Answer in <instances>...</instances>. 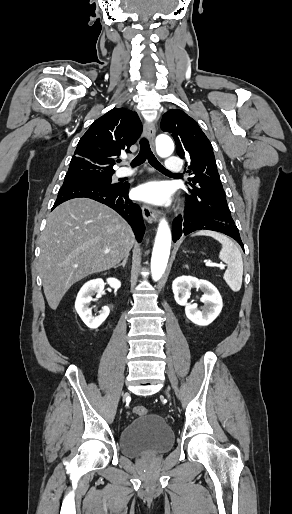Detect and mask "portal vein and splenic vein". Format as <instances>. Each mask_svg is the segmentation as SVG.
<instances>
[{"mask_svg":"<svg viewBox=\"0 0 292 514\" xmlns=\"http://www.w3.org/2000/svg\"><path fill=\"white\" fill-rule=\"evenodd\" d=\"M105 254H109L108 250H105ZM205 266H217V268H221L223 264H211V262H206Z\"/></svg>","mask_w":292,"mask_h":514,"instance_id":"obj_1","label":"portal vein and splenic vein"}]
</instances>
